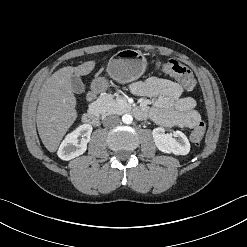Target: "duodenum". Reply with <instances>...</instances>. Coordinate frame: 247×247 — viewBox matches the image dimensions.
Returning a JSON list of instances; mask_svg holds the SVG:
<instances>
[{
    "label": "duodenum",
    "instance_id": "410a0bca",
    "mask_svg": "<svg viewBox=\"0 0 247 247\" xmlns=\"http://www.w3.org/2000/svg\"><path fill=\"white\" fill-rule=\"evenodd\" d=\"M97 94V89H94L91 91L88 95V100L91 101L95 98ZM134 114L138 118H143L145 115V112L142 108H135L134 109ZM82 121L85 124L92 125V126H97L99 124V116L98 113L94 109L88 110L82 117Z\"/></svg>",
    "mask_w": 247,
    "mask_h": 247
}]
</instances>
